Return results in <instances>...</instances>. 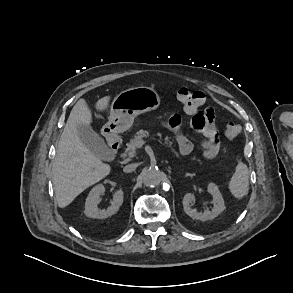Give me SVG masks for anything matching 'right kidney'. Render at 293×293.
<instances>
[{
	"label": "right kidney",
	"instance_id": "obj_1",
	"mask_svg": "<svg viewBox=\"0 0 293 293\" xmlns=\"http://www.w3.org/2000/svg\"><path fill=\"white\" fill-rule=\"evenodd\" d=\"M105 192V187L102 184H98L92 188L90 191L86 202H85V215L90 218L103 219L115 214L119 207L123 203V191L117 190L113 195V200L111 205L106 209H99L97 205L99 204V197Z\"/></svg>",
	"mask_w": 293,
	"mask_h": 293
}]
</instances>
